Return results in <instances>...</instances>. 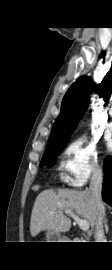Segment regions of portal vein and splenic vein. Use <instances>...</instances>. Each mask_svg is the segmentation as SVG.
I'll return each instance as SVG.
<instances>
[{"label":"portal vein and splenic vein","instance_id":"portal-vein-and-splenic-vein-1","mask_svg":"<svg viewBox=\"0 0 112 270\" xmlns=\"http://www.w3.org/2000/svg\"><path fill=\"white\" fill-rule=\"evenodd\" d=\"M66 214L72 217L77 224L79 225L80 229L83 231H88L89 230V222L85 219H80L79 216H77L73 211L68 210L66 211Z\"/></svg>","mask_w":112,"mask_h":270}]
</instances>
